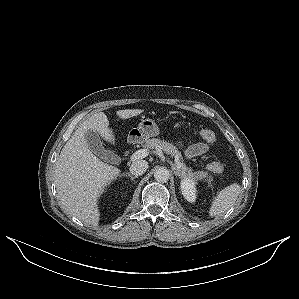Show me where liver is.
Returning <instances> with one entry per match:
<instances>
[{
	"mask_svg": "<svg viewBox=\"0 0 299 299\" xmlns=\"http://www.w3.org/2000/svg\"><path fill=\"white\" fill-rule=\"evenodd\" d=\"M142 112L141 109H125L117 111L116 115L124 120ZM87 130L98 132L109 143L115 140L105 113L93 114L75 130L62 148L54 178L62 210L88 225L97 226L100 217L98 198L121 171L93 154L85 139Z\"/></svg>",
	"mask_w": 299,
	"mask_h": 299,
	"instance_id": "liver-1",
	"label": "liver"
}]
</instances>
